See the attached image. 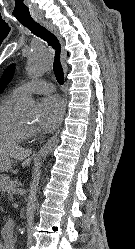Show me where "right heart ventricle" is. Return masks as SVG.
Masks as SVG:
<instances>
[{
  "instance_id": "right-heart-ventricle-1",
  "label": "right heart ventricle",
  "mask_w": 135,
  "mask_h": 249,
  "mask_svg": "<svg viewBox=\"0 0 135 249\" xmlns=\"http://www.w3.org/2000/svg\"><path fill=\"white\" fill-rule=\"evenodd\" d=\"M20 99L12 93L0 102V143L17 144L22 142L29 134L27 126L15 113Z\"/></svg>"
}]
</instances>
